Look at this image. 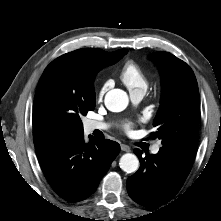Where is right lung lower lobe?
Instances as JSON below:
<instances>
[{
	"label": "right lung lower lobe",
	"mask_w": 221,
	"mask_h": 221,
	"mask_svg": "<svg viewBox=\"0 0 221 221\" xmlns=\"http://www.w3.org/2000/svg\"><path fill=\"white\" fill-rule=\"evenodd\" d=\"M89 138L91 141L85 144L81 133L35 148L47 181L70 202L84 200L95 192L120 151L115 141Z\"/></svg>",
	"instance_id": "98d812e1"
}]
</instances>
